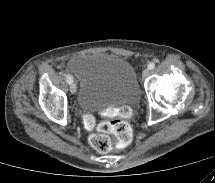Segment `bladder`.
<instances>
[{"label":"bladder","instance_id":"1","mask_svg":"<svg viewBox=\"0 0 215 183\" xmlns=\"http://www.w3.org/2000/svg\"><path fill=\"white\" fill-rule=\"evenodd\" d=\"M70 69L81 81L77 104L82 110L136 104L140 98L136 72L123 57L106 53L80 54L73 58Z\"/></svg>","mask_w":215,"mask_h":183}]
</instances>
